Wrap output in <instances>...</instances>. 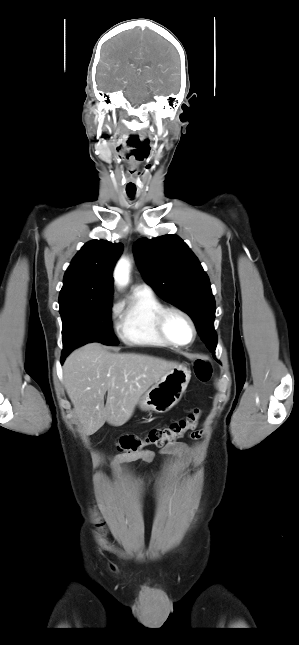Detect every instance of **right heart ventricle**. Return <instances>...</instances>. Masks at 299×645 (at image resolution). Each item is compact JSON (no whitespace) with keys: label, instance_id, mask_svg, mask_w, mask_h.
<instances>
[{"label":"right heart ventricle","instance_id":"obj_1","mask_svg":"<svg viewBox=\"0 0 299 645\" xmlns=\"http://www.w3.org/2000/svg\"><path fill=\"white\" fill-rule=\"evenodd\" d=\"M164 307L153 292L134 290L117 311V332L121 340L136 346H169L156 327L157 315Z\"/></svg>","mask_w":299,"mask_h":645}]
</instances>
